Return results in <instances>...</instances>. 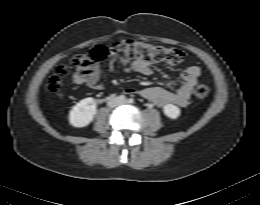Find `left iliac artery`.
I'll use <instances>...</instances> for the list:
<instances>
[{
    "instance_id": "left-iliac-artery-1",
    "label": "left iliac artery",
    "mask_w": 260,
    "mask_h": 205,
    "mask_svg": "<svg viewBox=\"0 0 260 205\" xmlns=\"http://www.w3.org/2000/svg\"><path fill=\"white\" fill-rule=\"evenodd\" d=\"M128 102H129V103H134V99H133V98H130V99H128Z\"/></svg>"
}]
</instances>
